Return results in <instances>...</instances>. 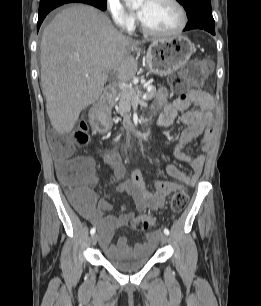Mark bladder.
Listing matches in <instances>:
<instances>
[{
    "label": "bladder",
    "mask_w": 261,
    "mask_h": 306,
    "mask_svg": "<svg viewBox=\"0 0 261 306\" xmlns=\"http://www.w3.org/2000/svg\"><path fill=\"white\" fill-rule=\"evenodd\" d=\"M105 260L116 269L123 272H133L146 265L152 258L150 247H116V252L104 253Z\"/></svg>",
    "instance_id": "bladder-1"
}]
</instances>
